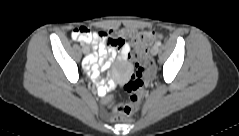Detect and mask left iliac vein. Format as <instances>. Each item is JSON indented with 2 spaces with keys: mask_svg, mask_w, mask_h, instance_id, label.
I'll use <instances>...</instances> for the list:
<instances>
[{
  "mask_svg": "<svg viewBox=\"0 0 239 136\" xmlns=\"http://www.w3.org/2000/svg\"><path fill=\"white\" fill-rule=\"evenodd\" d=\"M158 51H159V48L157 45H154L150 50L152 55H156L158 53Z\"/></svg>",
  "mask_w": 239,
  "mask_h": 136,
  "instance_id": "obj_1",
  "label": "left iliac vein"
}]
</instances>
